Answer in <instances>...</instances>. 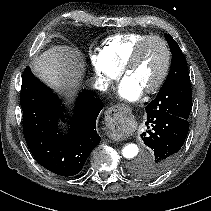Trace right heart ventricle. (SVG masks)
I'll return each instance as SVG.
<instances>
[{
	"label": "right heart ventricle",
	"instance_id": "obj_1",
	"mask_svg": "<svg viewBox=\"0 0 211 211\" xmlns=\"http://www.w3.org/2000/svg\"><path fill=\"white\" fill-rule=\"evenodd\" d=\"M147 34L122 33L110 36L102 43L103 57L114 67L122 69L136 44Z\"/></svg>",
	"mask_w": 211,
	"mask_h": 211
}]
</instances>
